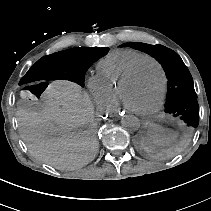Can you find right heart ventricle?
Returning <instances> with one entry per match:
<instances>
[{"instance_id": "obj_1", "label": "right heart ventricle", "mask_w": 211, "mask_h": 211, "mask_svg": "<svg viewBox=\"0 0 211 211\" xmlns=\"http://www.w3.org/2000/svg\"><path fill=\"white\" fill-rule=\"evenodd\" d=\"M147 55L130 51L113 52L96 67V78L106 93L111 108L118 103V86L124 75Z\"/></svg>"}]
</instances>
